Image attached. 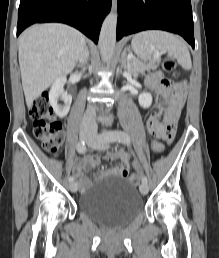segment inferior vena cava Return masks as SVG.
<instances>
[{
	"label": "inferior vena cava",
	"instance_id": "602c4592",
	"mask_svg": "<svg viewBox=\"0 0 219 258\" xmlns=\"http://www.w3.org/2000/svg\"><path fill=\"white\" fill-rule=\"evenodd\" d=\"M87 57H88V51L85 50L80 57V62L84 63L86 61ZM95 117H96L95 107L88 106V108L83 116L82 122H81V129L92 132V133L97 132V124L95 121Z\"/></svg>",
	"mask_w": 219,
	"mask_h": 258
}]
</instances>
